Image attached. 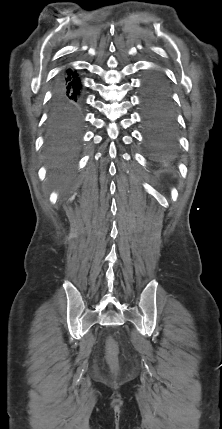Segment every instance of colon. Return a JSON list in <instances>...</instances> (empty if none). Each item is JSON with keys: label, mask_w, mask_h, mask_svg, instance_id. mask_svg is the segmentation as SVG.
Here are the masks:
<instances>
[{"label": "colon", "mask_w": 222, "mask_h": 429, "mask_svg": "<svg viewBox=\"0 0 222 429\" xmlns=\"http://www.w3.org/2000/svg\"><path fill=\"white\" fill-rule=\"evenodd\" d=\"M107 346H108V362H109V365L113 371H116L118 368L116 343L112 338H110L108 340Z\"/></svg>", "instance_id": "1"}]
</instances>
